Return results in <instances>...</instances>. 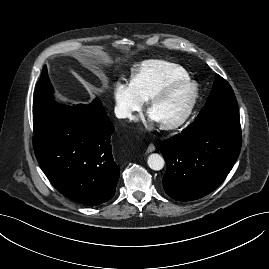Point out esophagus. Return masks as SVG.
I'll return each instance as SVG.
<instances>
[{
	"instance_id": "obj_1",
	"label": "esophagus",
	"mask_w": 269,
	"mask_h": 269,
	"mask_svg": "<svg viewBox=\"0 0 269 269\" xmlns=\"http://www.w3.org/2000/svg\"><path fill=\"white\" fill-rule=\"evenodd\" d=\"M155 150V146L153 144H150L148 147H147V150L146 152L147 153H150V152H153Z\"/></svg>"
}]
</instances>
